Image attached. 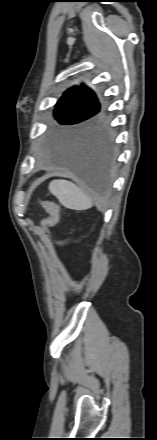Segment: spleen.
Returning <instances> with one entry per match:
<instances>
[{
  "mask_svg": "<svg viewBox=\"0 0 157 440\" xmlns=\"http://www.w3.org/2000/svg\"><path fill=\"white\" fill-rule=\"evenodd\" d=\"M49 191L68 209L83 211L93 206L91 199L70 181L53 180Z\"/></svg>",
  "mask_w": 157,
  "mask_h": 440,
  "instance_id": "obj_1",
  "label": "spleen"
}]
</instances>
